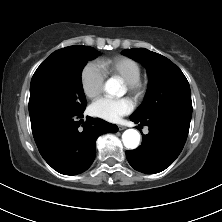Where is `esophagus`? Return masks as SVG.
I'll return each instance as SVG.
<instances>
[{
  "label": "esophagus",
  "mask_w": 222,
  "mask_h": 222,
  "mask_svg": "<svg viewBox=\"0 0 222 222\" xmlns=\"http://www.w3.org/2000/svg\"><path fill=\"white\" fill-rule=\"evenodd\" d=\"M125 128H126L125 126L118 125V129H119L120 131L124 130Z\"/></svg>",
  "instance_id": "34e87169"
}]
</instances>
